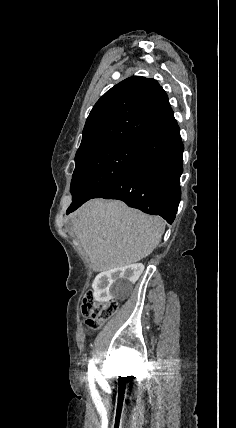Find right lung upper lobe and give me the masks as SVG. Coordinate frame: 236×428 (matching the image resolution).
<instances>
[{
	"mask_svg": "<svg viewBox=\"0 0 236 428\" xmlns=\"http://www.w3.org/2000/svg\"><path fill=\"white\" fill-rule=\"evenodd\" d=\"M173 117L167 94L154 79L129 77L94 105L75 162L127 140H140Z\"/></svg>",
	"mask_w": 236,
	"mask_h": 428,
	"instance_id": "obj_1",
	"label": "right lung upper lobe"
}]
</instances>
